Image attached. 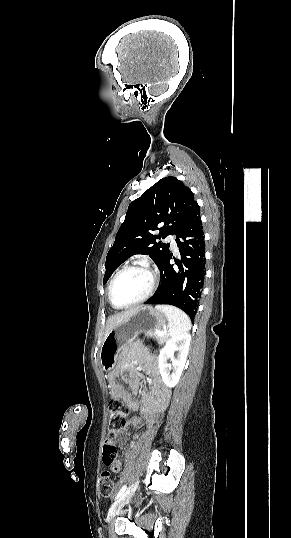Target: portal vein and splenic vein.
<instances>
[{
    "mask_svg": "<svg viewBox=\"0 0 291 538\" xmlns=\"http://www.w3.org/2000/svg\"><path fill=\"white\" fill-rule=\"evenodd\" d=\"M158 335H163L164 333L162 331L157 332Z\"/></svg>",
    "mask_w": 291,
    "mask_h": 538,
    "instance_id": "1",
    "label": "portal vein and splenic vein"
}]
</instances>
